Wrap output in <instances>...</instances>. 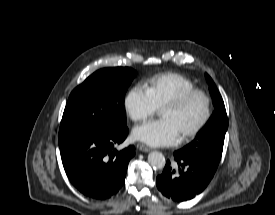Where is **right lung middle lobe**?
<instances>
[{"label": "right lung middle lobe", "instance_id": "1", "mask_svg": "<svg viewBox=\"0 0 275 215\" xmlns=\"http://www.w3.org/2000/svg\"><path fill=\"white\" fill-rule=\"evenodd\" d=\"M135 76L131 68H105L89 76L70 94L59 134L107 132L126 127L125 92Z\"/></svg>", "mask_w": 275, "mask_h": 215}]
</instances>
